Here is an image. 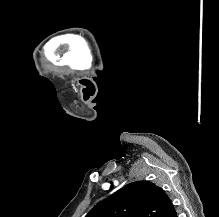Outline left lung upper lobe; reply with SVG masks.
I'll return each instance as SVG.
<instances>
[{
	"label": "left lung upper lobe",
	"instance_id": "obj_1",
	"mask_svg": "<svg viewBox=\"0 0 219 217\" xmlns=\"http://www.w3.org/2000/svg\"><path fill=\"white\" fill-rule=\"evenodd\" d=\"M86 217H177V212L162 188L137 181L100 201Z\"/></svg>",
	"mask_w": 219,
	"mask_h": 217
}]
</instances>
